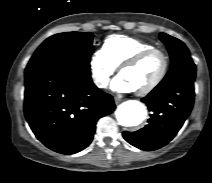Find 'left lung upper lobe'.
<instances>
[{
  "label": "left lung upper lobe",
  "instance_id": "left-lung-upper-lobe-1",
  "mask_svg": "<svg viewBox=\"0 0 212 183\" xmlns=\"http://www.w3.org/2000/svg\"><path fill=\"white\" fill-rule=\"evenodd\" d=\"M161 41L166 45L170 57H171V66L176 64L178 61L190 57V52L185 46V44L177 38H174L168 34H160Z\"/></svg>",
  "mask_w": 212,
  "mask_h": 183
}]
</instances>
